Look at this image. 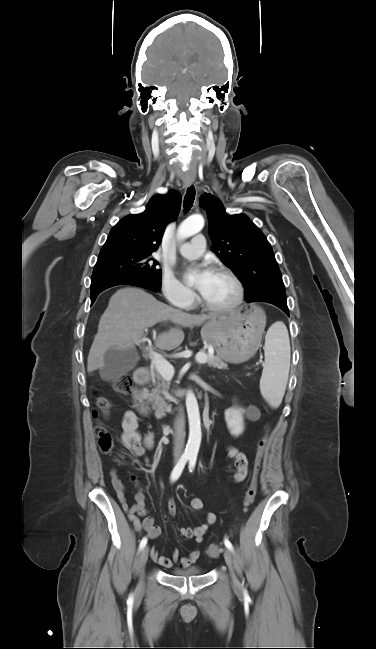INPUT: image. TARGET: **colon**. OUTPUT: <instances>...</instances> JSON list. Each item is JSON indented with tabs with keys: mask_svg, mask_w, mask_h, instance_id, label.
I'll return each mask as SVG.
<instances>
[{
	"mask_svg": "<svg viewBox=\"0 0 376 649\" xmlns=\"http://www.w3.org/2000/svg\"><path fill=\"white\" fill-rule=\"evenodd\" d=\"M112 387L113 390L117 393L128 394L131 391L132 382L128 375H121L113 381ZM96 403L99 410H101L104 413L108 412L110 408V403L106 398L98 397L96 399ZM96 436L98 439L99 447L102 451L108 452L113 448L114 446L113 436L107 430V428L102 424L96 426ZM266 443L267 440L265 435L261 436L257 442V449H256V456H255L256 472H258L260 469L261 462L266 450ZM256 494H257V480L255 478L253 479L250 487L248 488L243 500V507L245 511L253 504L256 498ZM206 553L209 557H218L221 553V547L217 544H211L208 546Z\"/></svg>",
	"mask_w": 376,
	"mask_h": 649,
	"instance_id": "1",
	"label": "colon"
}]
</instances>
